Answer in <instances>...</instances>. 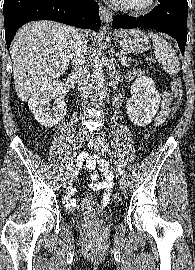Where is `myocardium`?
<instances>
[{
	"label": "myocardium",
	"instance_id": "myocardium-1",
	"mask_svg": "<svg viewBox=\"0 0 195 270\" xmlns=\"http://www.w3.org/2000/svg\"><path fill=\"white\" fill-rule=\"evenodd\" d=\"M115 3L120 9L134 13H145L154 7L156 0H146L142 4H133L125 0H115Z\"/></svg>",
	"mask_w": 195,
	"mask_h": 270
}]
</instances>
